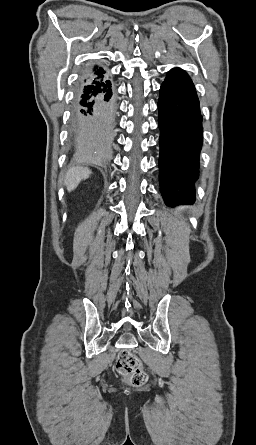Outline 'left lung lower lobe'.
Returning a JSON list of instances; mask_svg holds the SVG:
<instances>
[{
    "mask_svg": "<svg viewBox=\"0 0 256 445\" xmlns=\"http://www.w3.org/2000/svg\"><path fill=\"white\" fill-rule=\"evenodd\" d=\"M158 109L161 194L168 206L189 204L195 199L203 131L194 84L182 69L168 72Z\"/></svg>",
    "mask_w": 256,
    "mask_h": 445,
    "instance_id": "1",
    "label": "left lung lower lobe"
}]
</instances>
